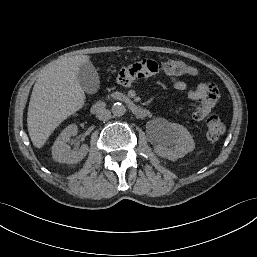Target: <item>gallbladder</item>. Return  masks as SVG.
<instances>
[{"label":"gallbladder","mask_w":257,"mask_h":257,"mask_svg":"<svg viewBox=\"0 0 257 257\" xmlns=\"http://www.w3.org/2000/svg\"><path fill=\"white\" fill-rule=\"evenodd\" d=\"M81 88L88 94H94L99 89V76L91 62L82 64L77 74Z\"/></svg>","instance_id":"gallbladder-1"}]
</instances>
